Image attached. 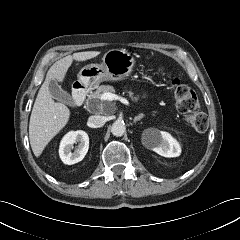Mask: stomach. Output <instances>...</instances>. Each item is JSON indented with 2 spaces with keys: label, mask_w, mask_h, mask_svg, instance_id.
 <instances>
[{
  "label": "stomach",
  "mask_w": 240,
  "mask_h": 240,
  "mask_svg": "<svg viewBox=\"0 0 240 240\" xmlns=\"http://www.w3.org/2000/svg\"><path fill=\"white\" fill-rule=\"evenodd\" d=\"M135 64L134 56L124 49L108 50L101 64L84 66L78 74V82L88 90L95 89L103 81H117L128 77Z\"/></svg>",
  "instance_id": "0dacf381"
}]
</instances>
